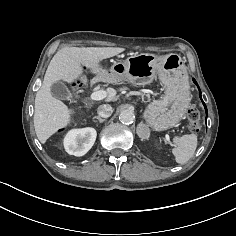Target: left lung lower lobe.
<instances>
[{
  "label": "left lung lower lobe",
  "mask_w": 236,
  "mask_h": 236,
  "mask_svg": "<svg viewBox=\"0 0 236 236\" xmlns=\"http://www.w3.org/2000/svg\"><path fill=\"white\" fill-rule=\"evenodd\" d=\"M193 81L195 82V84L197 85V87H198V89H199V96H200V98H201V91H200V88H199L197 82L195 81V79H193ZM201 100H202V98H201ZM202 103H203V105H204V107H205V111H206V115H207V107H206L205 103L203 102V100H202Z\"/></svg>",
  "instance_id": "left-lung-lower-lobe-1"
}]
</instances>
